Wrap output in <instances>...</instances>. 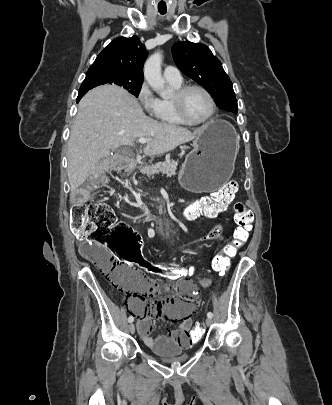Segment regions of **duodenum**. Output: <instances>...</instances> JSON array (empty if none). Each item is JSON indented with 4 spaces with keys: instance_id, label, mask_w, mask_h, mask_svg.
Instances as JSON below:
<instances>
[{
    "instance_id": "obj_1",
    "label": "duodenum",
    "mask_w": 332,
    "mask_h": 405,
    "mask_svg": "<svg viewBox=\"0 0 332 405\" xmlns=\"http://www.w3.org/2000/svg\"><path fill=\"white\" fill-rule=\"evenodd\" d=\"M124 155H125V157H127L128 159H130V160H134V154L133 153H131V152H129V151H127V152H125L124 153ZM207 216L208 217H212V214H207ZM185 219H187V220H192V219H194V217H193V215L190 213V212H187L186 214H185Z\"/></svg>"
}]
</instances>
